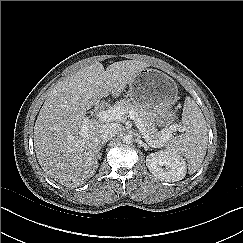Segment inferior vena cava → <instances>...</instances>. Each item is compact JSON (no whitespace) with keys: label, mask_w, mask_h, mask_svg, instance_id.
<instances>
[{"label":"inferior vena cava","mask_w":243,"mask_h":243,"mask_svg":"<svg viewBox=\"0 0 243 243\" xmlns=\"http://www.w3.org/2000/svg\"><path fill=\"white\" fill-rule=\"evenodd\" d=\"M121 131L118 123H107L100 128V138L102 141H108Z\"/></svg>","instance_id":"602c4592"}]
</instances>
